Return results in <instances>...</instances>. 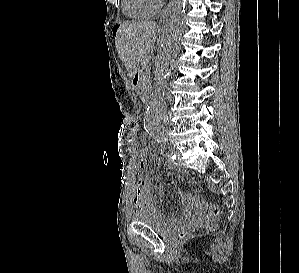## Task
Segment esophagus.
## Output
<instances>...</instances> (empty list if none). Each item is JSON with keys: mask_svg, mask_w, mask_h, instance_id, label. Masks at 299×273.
I'll return each instance as SVG.
<instances>
[{"mask_svg": "<svg viewBox=\"0 0 299 273\" xmlns=\"http://www.w3.org/2000/svg\"><path fill=\"white\" fill-rule=\"evenodd\" d=\"M175 0H171L169 2V4L167 5V7L163 10L161 16H160V23H165L168 19V16H169V13H170V10L174 4Z\"/></svg>", "mask_w": 299, "mask_h": 273, "instance_id": "34e87169", "label": "esophagus"}]
</instances>
